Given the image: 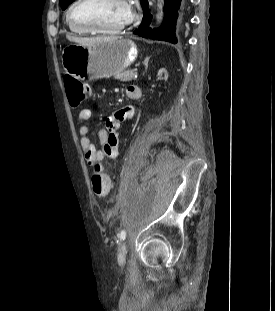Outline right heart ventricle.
I'll return each mask as SVG.
<instances>
[{
	"mask_svg": "<svg viewBox=\"0 0 275 311\" xmlns=\"http://www.w3.org/2000/svg\"><path fill=\"white\" fill-rule=\"evenodd\" d=\"M67 25H68L70 31H72L73 33H76V34H86L87 33L85 31H83L82 29H79L77 27H74V26L70 25L68 20H67Z\"/></svg>",
	"mask_w": 275,
	"mask_h": 311,
	"instance_id": "1",
	"label": "right heart ventricle"
}]
</instances>
